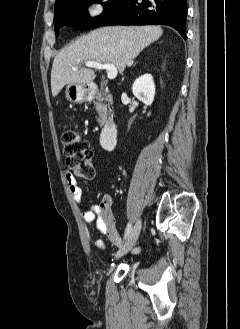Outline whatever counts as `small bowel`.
Here are the masks:
<instances>
[{
	"instance_id": "small-bowel-1",
	"label": "small bowel",
	"mask_w": 240,
	"mask_h": 329,
	"mask_svg": "<svg viewBox=\"0 0 240 329\" xmlns=\"http://www.w3.org/2000/svg\"><path fill=\"white\" fill-rule=\"evenodd\" d=\"M65 180L70 193L79 204L84 222L87 224L95 223L100 234L106 235L114 245L122 247V239L116 229L115 218L110 207V202L107 200L100 204L85 205L83 203V193L80 184L69 172L65 173ZM94 245L98 250L106 249V243L102 239L96 240ZM133 252H137V249Z\"/></svg>"
}]
</instances>
